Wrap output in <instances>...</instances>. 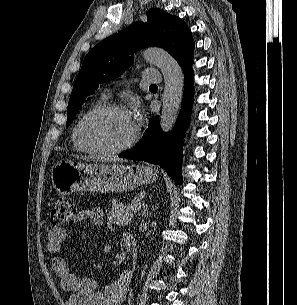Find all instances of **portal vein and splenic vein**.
<instances>
[{
  "label": "portal vein and splenic vein",
  "mask_w": 297,
  "mask_h": 305,
  "mask_svg": "<svg viewBox=\"0 0 297 305\" xmlns=\"http://www.w3.org/2000/svg\"><path fill=\"white\" fill-rule=\"evenodd\" d=\"M140 205L138 203H135L131 206L132 211H137L139 209Z\"/></svg>",
  "instance_id": "portal-vein-and-splenic-vein-1"
}]
</instances>
